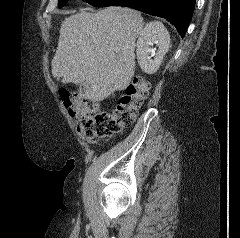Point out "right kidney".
I'll use <instances>...</instances> for the list:
<instances>
[{
    "mask_svg": "<svg viewBox=\"0 0 240 238\" xmlns=\"http://www.w3.org/2000/svg\"><path fill=\"white\" fill-rule=\"evenodd\" d=\"M153 43L158 46L157 53L149 47ZM169 45L170 35L162 22L153 21L146 24L136 44L137 59L141 69L147 74H154L168 52Z\"/></svg>",
    "mask_w": 240,
    "mask_h": 238,
    "instance_id": "right-kidney-1",
    "label": "right kidney"
}]
</instances>
